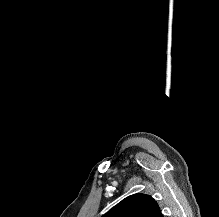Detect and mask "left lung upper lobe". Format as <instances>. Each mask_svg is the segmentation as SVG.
Segmentation results:
<instances>
[{"label": "left lung upper lobe", "mask_w": 219, "mask_h": 217, "mask_svg": "<svg viewBox=\"0 0 219 217\" xmlns=\"http://www.w3.org/2000/svg\"><path fill=\"white\" fill-rule=\"evenodd\" d=\"M102 217H164L157 202L147 194L126 197Z\"/></svg>", "instance_id": "left-lung-upper-lobe-1"}]
</instances>
